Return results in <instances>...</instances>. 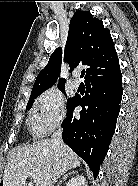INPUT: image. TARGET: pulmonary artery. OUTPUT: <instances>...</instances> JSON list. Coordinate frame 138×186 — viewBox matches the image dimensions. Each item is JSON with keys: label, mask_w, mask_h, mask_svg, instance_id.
Segmentation results:
<instances>
[{"label": "pulmonary artery", "mask_w": 138, "mask_h": 186, "mask_svg": "<svg viewBox=\"0 0 138 186\" xmlns=\"http://www.w3.org/2000/svg\"><path fill=\"white\" fill-rule=\"evenodd\" d=\"M71 84H72V87L74 89H78L79 86H80V82H79V80L76 77L72 80V83Z\"/></svg>", "instance_id": "obj_1"}]
</instances>
